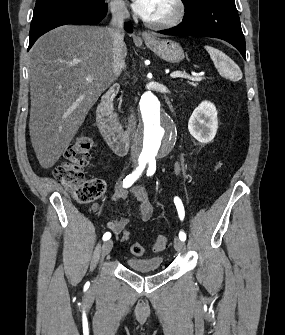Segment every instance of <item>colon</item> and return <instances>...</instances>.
Wrapping results in <instances>:
<instances>
[{
    "instance_id": "1",
    "label": "colon",
    "mask_w": 285,
    "mask_h": 335,
    "mask_svg": "<svg viewBox=\"0 0 285 335\" xmlns=\"http://www.w3.org/2000/svg\"><path fill=\"white\" fill-rule=\"evenodd\" d=\"M93 141L89 136H80L65 151V161L57 166L54 171L56 179L73 195L79 203L87 204L100 198L105 192L106 185L99 178H86L84 168L90 161ZM130 233L124 231L122 242H127ZM168 242L165 236L158 235L153 244L157 252L167 248ZM130 251L135 256H141L144 248L141 244L131 245Z\"/></svg>"
}]
</instances>
